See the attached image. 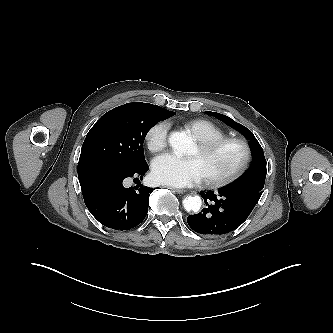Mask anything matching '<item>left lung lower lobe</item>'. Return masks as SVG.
I'll return each mask as SVG.
<instances>
[{"instance_id":"obj_1","label":"left lung lower lobe","mask_w":333,"mask_h":333,"mask_svg":"<svg viewBox=\"0 0 333 333\" xmlns=\"http://www.w3.org/2000/svg\"><path fill=\"white\" fill-rule=\"evenodd\" d=\"M207 205L200 213L187 217L189 226L197 233L217 236L229 233L240 226L250 215L259 198L245 192L221 188L201 192Z\"/></svg>"}]
</instances>
